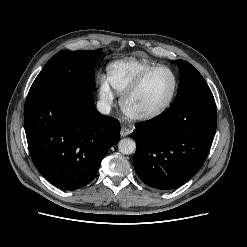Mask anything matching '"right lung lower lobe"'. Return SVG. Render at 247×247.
<instances>
[{
    "mask_svg": "<svg viewBox=\"0 0 247 247\" xmlns=\"http://www.w3.org/2000/svg\"><path fill=\"white\" fill-rule=\"evenodd\" d=\"M24 127L35 167L64 190L88 184L120 136L119 121L97 111L92 90L78 88L29 93Z\"/></svg>",
    "mask_w": 247,
    "mask_h": 247,
    "instance_id": "right-lung-lower-lobe-1",
    "label": "right lung lower lobe"
}]
</instances>
